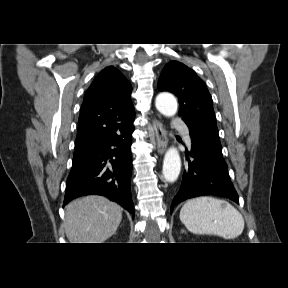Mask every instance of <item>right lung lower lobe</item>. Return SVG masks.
Returning <instances> with one entry per match:
<instances>
[{"instance_id":"right-lung-lower-lobe-1","label":"right lung lower lobe","mask_w":288,"mask_h":288,"mask_svg":"<svg viewBox=\"0 0 288 288\" xmlns=\"http://www.w3.org/2000/svg\"><path fill=\"white\" fill-rule=\"evenodd\" d=\"M133 124L88 152L73 157L67 179L64 205L90 194L106 196L134 217L130 178Z\"/></svg>"}]
</instances>
